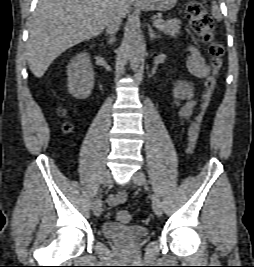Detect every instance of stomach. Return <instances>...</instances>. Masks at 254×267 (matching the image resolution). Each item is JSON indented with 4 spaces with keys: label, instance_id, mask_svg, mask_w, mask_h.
Returning a JSON list of instances; mask_svg holds the SVG:
<instances>
[{
    "label": "stomach",
    "instance_id": "obj_1",
    "mask_svg": "<svg viewBox=\"0 0 254 267\" xmlns=\"http://www.w3.org/2000/svg\"><path fill=\"white\" fill-rule=\"evenodd\" d=\"M178 0H141L136 4L145 11H169L177 3Z\"/></svg>",
    "mask_w": 254,
    "mask_h": 267
}]
</instances>
